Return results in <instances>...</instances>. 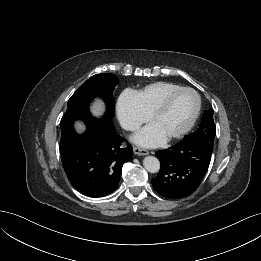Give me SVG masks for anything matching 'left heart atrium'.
Here are the masks:
<instances>
[{"label":"left heart atrium","instance_id":"1","mask_svg":"<svg viewBox=\"0 0 261 261\" xmlns=\"http://www.w3.org/2000/svg\"><path fill=\"white\" fill-rule=\"evenodd\" d=\"M132 139L141 146L156 147L166 140V136L152 123L134 135Z\"/></svg>","mask_w":261,"mask_h":261}]
</instances>
